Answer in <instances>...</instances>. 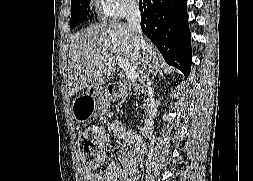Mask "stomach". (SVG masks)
Masks as SVG:
<instances>
[{"instance_id": "0dacf381", "label": "stomach", "mask_w": 253, "mask_h": 181, "mask_svg": "<svg viewBox=\"0 0 253 181\" xmlns=\"http://www.w3.org/2000/svg\"><path fill=\"white\" fill-rule=\"evenodd\" d=\"M86 97V99H81ZM109 97L102 87L89 88L73 102V115L77 121H86L107 111Z\"/></svg>"}]
</instances>
